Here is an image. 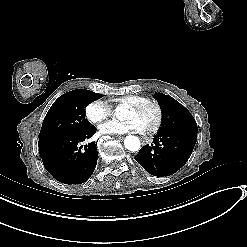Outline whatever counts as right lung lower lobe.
Instances as JSON below:
<instances>
[{"mask_svg": "<svg viewBox=\"0 0 247 247\" xmlns=\"http://www.w3.org/2000/svg\"><path fill=\"white\" fill-rule=\"evenodd\" d=\"M96 132L94 126L79 133L49 135L39 139V153L45 169L59 182L80 184L86 182L97 164L95 142L81 145Z\"/></svg>", "mask_w": 247, "mask_h": 247, "instance_id": "98d812e1", "label": "right lung lower lobe"}]
</instances>
